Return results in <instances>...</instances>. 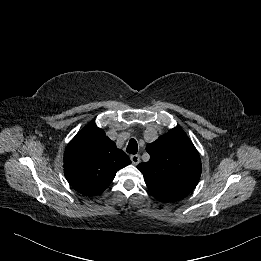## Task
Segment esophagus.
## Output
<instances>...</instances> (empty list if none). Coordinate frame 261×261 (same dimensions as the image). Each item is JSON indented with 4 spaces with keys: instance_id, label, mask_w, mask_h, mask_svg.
I'll return each instance as SVG.
<instances>
[{
    "instance_id": "esophagus-1",
    "label": "esophagus",
    "mask_w": 261,
    "mask_h": 261,
    "mask_svg": "<svg viewBox=\"0 0 261 261\" xmlns=\"http://www.w3.org/2000/svg\"><path fill=\"white\" fill-rule=\"evenodd\" d=\"M131 162L137 165L140 162V156L138 154L130 156Z\"/></svg>"
}]
</instances>
